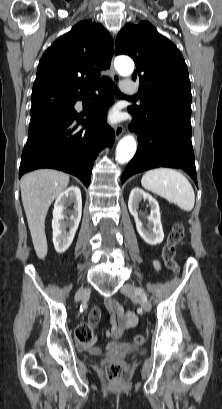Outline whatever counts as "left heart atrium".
<instances>
[{
	"instance_id": "obj_1",
	"label": "left heart atrium",
	"mask_w": 222,
	"mask_h": 409,
	"mask_svg": "<svg viewBox=\"0 0 222 409\" xmlns=\"http://www.w3.org/2000/svg\"><path fill=\"white\" fill-rule=\"evenodd\" d=\"M116 120V115L115 114H112L111 116H110V121H115Z\"/></svg>"
}]
</instances>
